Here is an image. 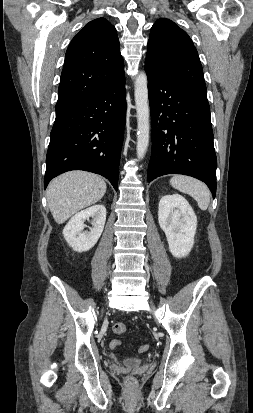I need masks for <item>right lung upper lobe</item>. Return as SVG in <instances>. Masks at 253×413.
Returning <instances> with one entry per match:
<instances>
[{"mask_svg": "<svg viewBox=\"0 0 253 413\" xmlns=\"http://www.w3.org/2000/svg\"><path fill=\"white\" fill-rule=\"evenodd\" d=\"M115 27L106 19L87 23L72 39L65 56L56 110L104 90L124 74Z\"/></svg>", "mask_w": 253, "mask_h": 413, "instance_id": "1", "label": "right lung upper lobe"}]
</instances>
